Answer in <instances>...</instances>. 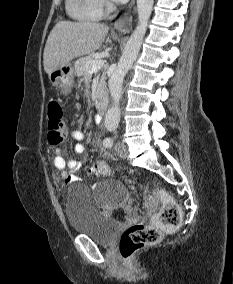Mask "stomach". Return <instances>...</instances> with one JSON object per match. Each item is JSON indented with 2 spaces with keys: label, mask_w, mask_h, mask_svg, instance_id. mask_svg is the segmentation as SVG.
<instances>
[{
  "label": "stomach",
  "mask_w": 233,
  "mask_h": 284,
  "mask_svg": "<svg viewBox=\"0 0 233 284\" xmlns=\"http://www.w3.org/2000/svg\"><path fill=\"white\" fill-rule=\"evenodd\" d=\"M75 71L73 66L68 63L63 67L52 71L49 74L50 83L55 86L62 95H68L74 83Z\"/></svg>",
  "instance_id": "0dacf381"
}]
</instances>
